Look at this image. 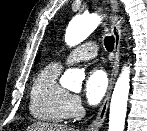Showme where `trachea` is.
Instances as JSON below:
<instances>
[{"label":"trachea","mask_w":147,"mask_h":131,"mask_svg":"<svg viewBox=\"0 0 147 131\" xmlns=\"http://www.w3.org/2000/svg\"><path fill=\"white\" fill-rule=\"evenodd\" d=\"M114 37L113 36H107L104 39V45L106 47V49L111 52L114 48Z\"/></svg>","instance_id":"obj_1"}]
</instances>
